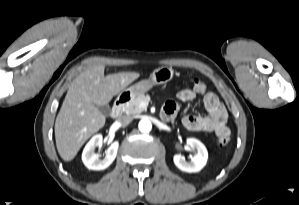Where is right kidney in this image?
Instances as JSON below:
<instances>
[{
    "mask_svg": "<svg viewBox=\"0 0 299 205\" xmlns=\"http://www.w3.org/2000/svg\"><path fill=\"white\" fill-rule=\"evenodd\" d=\"M103 137L101 134L94 135L91 140L86 144L83 153L82 161L84 165L91 170H104L106 169L116 158L119 143L113 142L106 150L105 157L100 158L99 154L94 153L97 146H101Z\"/></svg>",
    "mask_w": 299,
    "mask_h": 205,
    "instance_id": "1",
    "label": "right kidney"
}]
</instances>
